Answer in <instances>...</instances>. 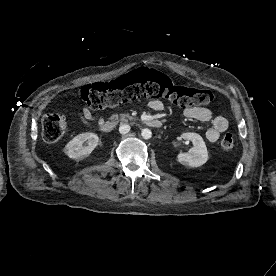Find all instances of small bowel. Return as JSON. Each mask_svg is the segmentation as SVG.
<instances>
[{
    "instance_id": "obj_1",
    "label": "small bowel",
    "mask_w": 276,
    "mask_h": 276,
    "mask_svg": "<svg viewBox=\"0 0 276 276\" xmlns=\"http://www.w3.org/2000/svg\"><path fill=\"white\" fill-rule=\"evenodd\" d=\"M148 105L154 111H161L164 109V104L159 100H152ZM77 115L85 126H89L90 122H95L97 124L103 122L101 117L94 115L87 107H78ZM182 116L201 122H210L211 127L206 131V138L210 142H216L220 135L229 127V121L226 117L214 115L210 109L204 107H187L182 111Z\"/></svg>"
}]
</instances>
